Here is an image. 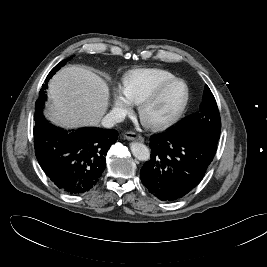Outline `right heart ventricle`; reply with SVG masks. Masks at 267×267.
Here are the masks:
<instances>
[{"mask_svg":"<svg viewBox=\"0 0 267 267\" xmlns=\"http://www.w3.org/2000/svg\"><path fill=\"white\" fill-rule=\"evenodd\" d=\"M175 80L177 77L165 70L137 69L125 74L122 88L132 104H139L161 87Z\"/></svg>","mask_w":267,"mask_h":267,"instance_id":"e07e8e85","label":"right heart ventricle"}]
</instances>
